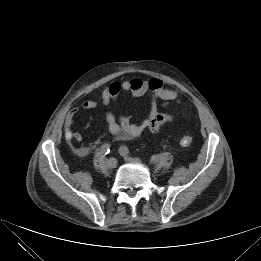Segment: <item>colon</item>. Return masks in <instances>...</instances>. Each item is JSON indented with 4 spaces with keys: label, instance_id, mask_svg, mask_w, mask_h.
I'll list each match as a JSON object with an SVG mask.
<instances>
[{
    "label": "colon",
    "instance_id": "colon-1",
    "mask_svg": "<svg viewBox=\"0 0 261 261\" xmlns=\"http://www.w3.org/2000/svg\"><path fill=\"white\" fill-rule=\"evenodd\" d=\"M192 143V136L189 134H184L180 139V144L184 147L190 146Z\"/></svg>",
    "mask_w": 261,
    "mask_h": 261
}]
</instances>
